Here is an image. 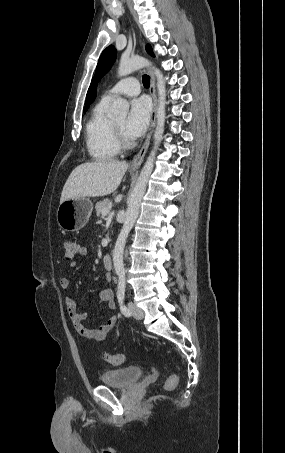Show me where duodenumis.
Instances as JSON below:
<instances>
[{
	"mask_svg": "<svg viewBox=\"0 0 285 453\" xmlns=\"http://www.w3.org/2000/svg\"><path fill=\"white\" fill-rule=\"evenodd\" d=\"M103 265L106 269H111L112 268V257L109 254H105L103 256Z\"/></svg>",
	"mask_w": 285,
	"mask_h": 453,
	"instance_id": "1",
	"label": "duodenum"
}]
</instances>
